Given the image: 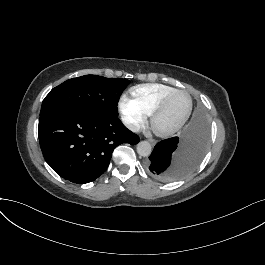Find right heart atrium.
<instances>
[{"label": "right heart atrium", "instance_id": "right-heart-atrium-1", "mask_svg": "<svg viewBox=\"0 0 265 265\" xmlns=\"http://www.w3.org/2000/svg\"><path fill=\"white\" fill-rule=\"evenodd\" d=\"M121 109L129 119V127L133 130L141 129L147 121V113L137 102L124 96L120 103Z\"/></svg>", "mask_w": 265, "mask_h": 265}]
</instances>
